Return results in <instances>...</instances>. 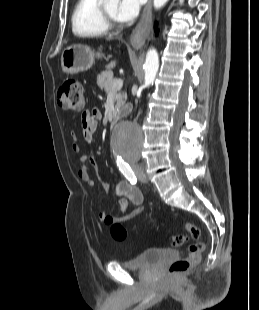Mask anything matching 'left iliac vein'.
<instances>
[{"label": "left iliac vein", "mask_w": 259, "mask_h": 310, "mask_svg": "<svg viewBox=\"0 0 259 310\" xmlns=\"http://www.w3.org/2000/svg\"><path fill=\"white\" fill-rule=\"evenodd\" d=\"M133 170L141 182H147L146 174L141 166H135L133 167Z\"/></svg>", "instance_id": "1"}]
</instances>
